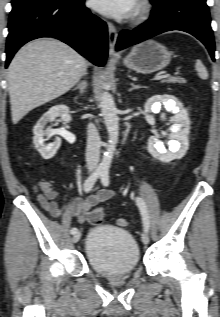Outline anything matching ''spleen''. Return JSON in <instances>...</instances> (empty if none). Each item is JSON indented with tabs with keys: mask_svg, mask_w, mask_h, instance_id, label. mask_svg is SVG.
Returning a JSON list of instances; mask_svg holds the SVG:
<instances>
[{
	"mask_svg": "<svg viewBox=\"0 0 220 317\" xmlns=\"http://www.w3.org/2000/svg\"><path fill=\"white\" fill-rule=\"evenodd\" d=\"M195 69L198 72V75L201 79H207L208 78V73L206 71L205 66L200 60H197L195 63Z\"/></svg>",
	"mask_w": 220,
	"mask_h": 317,
	"instance_id": "spleen-1",
	"label": "spleen"
}]
</instances>
